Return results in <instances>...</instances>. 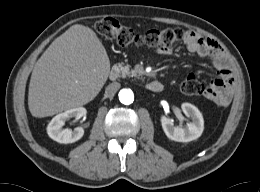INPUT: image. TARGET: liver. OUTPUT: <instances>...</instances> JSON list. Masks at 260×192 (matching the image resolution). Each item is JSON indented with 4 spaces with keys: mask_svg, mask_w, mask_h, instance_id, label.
Segmentation results:
<instances>
[{
    "mask_svg": "<svg viewBox=\"0 0 260 192\" xmlns=\"http://www.w3.org/2000/svg\"><path fill=\"white\" fill-rule=\"evenodd\" d=\"M109 72L110 60L96 33L80 24L71 26L34 66L28 91L30 113L42 118L87 104L101 91Z\"/></svg>",
    "mask_w": 260,
    "mask_h": 192,
    "instance_id": "1",
    "label": "liver"
}]
</instances>
